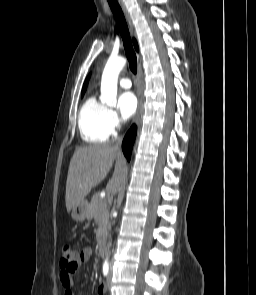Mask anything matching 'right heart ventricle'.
<instances>
[{"mask_svg":"<svg viewBox=\"0 0 256 295\" xmlns=\"http://www.w3.org/2000/svg\"><path fill=\"white\" fill-rule=\"evenodd\" d=\"M107 111L105 104L89 96L79 111V130L83 140L89 143L105 142L110 137L107 126Z\"/></svg>","mask_w":256,"mask_h":295,"instance_id":"1","label":"right heart ventricle"}]
</instances>
